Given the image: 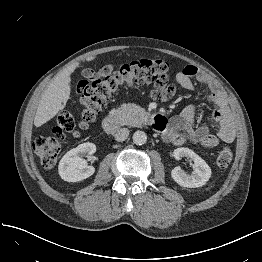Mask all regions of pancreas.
I'll list each match as a JSON object with an SVG mask.
<instances>
[{
    "label": "pancreas",
    "mask_w": 262,
    "mask_h": 262,
    "mask_svg": "<svg viewBox=\"0 0 262 262\" xmlns=\"http://www.w3.org/2000/svg\"><path fill=\"white\" fill-rule=\"evenodd\" d=\"M110 115L119 120L122 125L141 126L146 112L140 106L129 103L111 110Z\"/></svg>",
    "instance_id": "cf45deb5"
}]
</instances>
